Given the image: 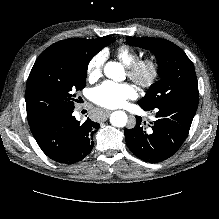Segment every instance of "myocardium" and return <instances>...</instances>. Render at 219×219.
<instances>
[{
  "label": "myocardium",
  "mask_w": 219,
  "mask_h": 219,
  "mask_svg": "<svg viewBox=\"0 0 219 219\" xmlns=\"http://www.w3.org/2000/svg\"><path fill=\"white\" fill-rule=\"evenodd\" d=\"M129 78L141 88H151L160 76V65L153 57L137 59L127 67Z\"/></svg>",
  "instance_id": "f54148a6"
}]
</instances>
